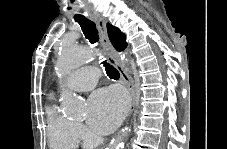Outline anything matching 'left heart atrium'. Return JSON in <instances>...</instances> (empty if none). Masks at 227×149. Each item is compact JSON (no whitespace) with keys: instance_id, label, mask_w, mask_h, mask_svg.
<instances>
[{"instance_id":"left-heart-atrium-1","label":"left heart atrium","mask_w":227,"mask_h":149,"mask_svg":"<svg viewBox=\"0 0 227 149\" xmlns=\"http://www.w3.org/2000/svg\"><path fill=\"white\" fill-rule=\"evenodd\" d=\"M88 124L99 133L110 132L122 119L127 106L124 93L115 87L99 89L89 100Z\"/></svg>"}]
</instances>
